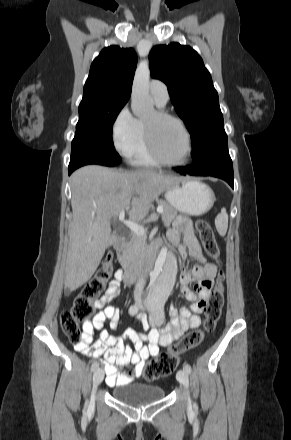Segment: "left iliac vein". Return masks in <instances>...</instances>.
<instances>
[{
    "mask_svg": "<svg viewBox=\"0 0 291 440\" xmlns=\"http://www.w3.org/2000/svg\"><path fill=\"white\" fill-rule=\"evenodd\" d=\"M176 378L186 389L188 387V372L185 369H181L177 372Z\"/></svg>",
    "mask_w": 291,
    "mask_h": 440,
    "instance_id": "4c4485c4",
    "label": "left iliac vein"
}]
</instances>
